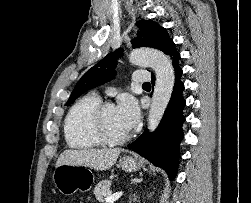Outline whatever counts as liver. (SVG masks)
<instances>
[{
    "instance_id": "1",
    "label": "liver",
    "mask_w": 251,
    "mask_h": 203,
    "mask_svg": "<svg viewBox=\"0 0 251 203\" xmlns=\"http://www.w3.org/2000/svg\"><path fill=\"white\" fill-rule=\"evenodd\" d=\"M121 149L65 150L58 158L56 167L62 164L83 165L95 170H108L116 162Z\"/></svg>"
}]
</instances>
